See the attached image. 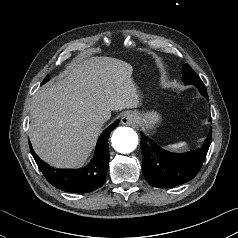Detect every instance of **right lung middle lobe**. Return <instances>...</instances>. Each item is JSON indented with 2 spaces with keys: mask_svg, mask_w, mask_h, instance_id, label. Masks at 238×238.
<instances>
[{
  "mask_svg": "<svg viewBox=\"0 0 238 238\" xmlns=\"http://www.w3.org/2000/svg\"><path fill=\"white\" fill-rule=\"evenodd\" d=\"M49 80V76H46V78L44 79V81L42 82V84L46 83Z\"/></svg>",
  "mask_w": 238,
  "mask_h": 238,
  "instance_id": "right-lung-middle-lobe-1",
  "label": "right lung middle lobe"
}]
</instances>
